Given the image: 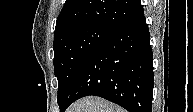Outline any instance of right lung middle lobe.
<instances>
[{
  "label": "right lung middle lobe",
  "instance_id": "obj_1",
  "mask_svg": "<svg viewBox=\"0 0 193 112\" xmlns=\"http://www.w3.org/2000/svg\"><path fill=\"white\" fill-rule=\"evenodd\" d=\"M113 30L93 24L67 28L54 37V71L58 79V105L64 104L69 89L89 55Z\"/></svg>",
  "mask_w": 193,
  "mask_h": 112
}]
</instances>
